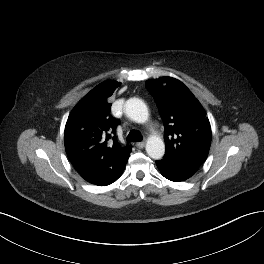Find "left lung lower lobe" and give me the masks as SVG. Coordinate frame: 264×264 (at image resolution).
Segmentation results:
<instances>
[{
	"label": "left lung lower lobe",
	"instance_id": "0a47b994",
	"mask_svg": "<svg viewBox=\"0 0 264 264\" xmlns=\"http://www.w3.org/2000/svg\"><path fill=\"white\" fill-rule=\"evenodd\" d=\"M156 165L165 178L174 182L187 180L198 170L194 167L176 165L164 159L156 161Z\"/></svg>",
	"mask_w": 264,
	"mask_h": 264
}]
</instances>
